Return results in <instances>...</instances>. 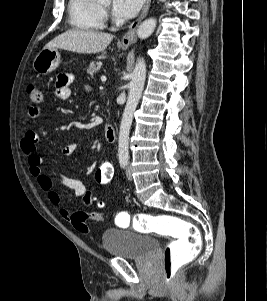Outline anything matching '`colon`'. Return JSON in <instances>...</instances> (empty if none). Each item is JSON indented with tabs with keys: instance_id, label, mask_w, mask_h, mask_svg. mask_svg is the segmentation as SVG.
Masks as SVG:
<instances>
[{
	"instance_id": "obj_1",
	"label": "colon",
	"mask_w": 267,
	"mask_h": 301,
	"mask_svg": "<svg viewBox=\"0 0 267 301\" xmlns=\"http://www.w3.org/2000/svg\"><path fill=\"white\" fill-rule=\"evenodd\" d=\"M28 92L33 104H39L43 101V93L36 86L30 85ZM113 176L112 164L102 162L96 169L94 178L97 184L108 185L111 183ZM98 205L102 206V203L99 202ZM116 221L124 227L132 226L140 233H155L172 238V241L165 247L163 252V275L167 282L171 281L177 271L193 260L199 253L201 238L197 227L179 217L147 213L131 215L123 211L117 214Z\"/></svg>"
}]
</instances>
